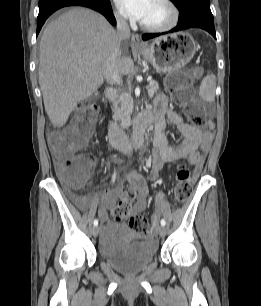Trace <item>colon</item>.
Segmentation results:
<instances>
[{"label": "colon", "instance_id": "obj_1", "mask_svg": "<svg viewBox=\"0 0 261 306\" xmlns=\"http://www.w3.org/2000/svg\"><path fill=\"white\" fill-rule=\"evenodd\" d=\"M192 79L184 73H173L167 77V86L173 101L187 107L188 116L196 124L204 120L202 112L192 104L194 90ZM99 116V108L95 104L87 103L77 112L73 121L53 140L56 155L62 164L59 176L69 187H78L85 183L91 171V159L76 153L83 150L94 135L95 125ZM176 185L174 200L185 202L192 193L191 173L186 164H180L176 171ZM136 193L126 185L123 187L120 200L112 209L115 220H122L129 216V227L138 234L150 233V226L144 216L132 214V204Z\"/></svg>", "mask_w": 261, "mask_h": 306}]
</instances>
